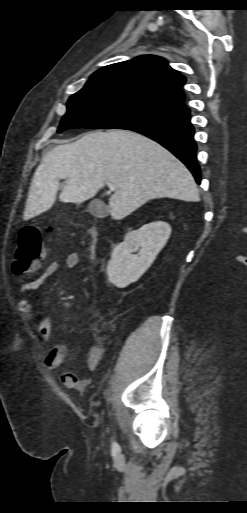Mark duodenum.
<instances>
[{"label":"duodenum","instance_id":"duodenum-1","mask_svg":"<svg viewBox=\"0 0 247 513\" xmlns=\"http://www.w3.org/2000/svg\"><path fill=\"white\" fill-rule=\"evenodd\" d=\"M90 236H91L90 254L94 255L95 254V242H96V238H97V231L95 228H92L90 230Z\"/></svg>","mask_w":247,"mask_h":513}]
</instances>
